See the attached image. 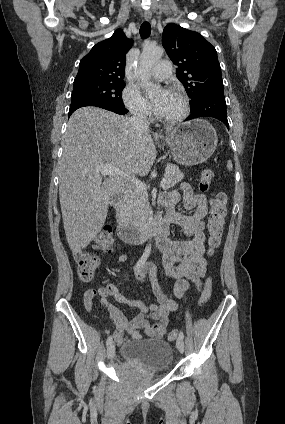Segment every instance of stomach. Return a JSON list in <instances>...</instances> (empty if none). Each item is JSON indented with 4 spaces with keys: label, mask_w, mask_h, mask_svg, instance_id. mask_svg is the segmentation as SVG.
Returning a JSON list of instances; mask_svg holds the SVG:
<instances>
[{
    "label": "stomach",
    "mask_w": 285,
    "mask_h": 424,
    "mask_svg": "<svg viewBox=\"0 0 285 424\" xmlns=\"http://www.w3.org/2000/svg\"><path fill=\"white\" fill-rule=\"evenodd\" d=\"M164 141L177 163L192 166L211 157L217 147L218 137L212 125L205 120L196 119L176 127Z\"/></svg>",
    "instance_id": "0dacf381"
}]
</instances>
